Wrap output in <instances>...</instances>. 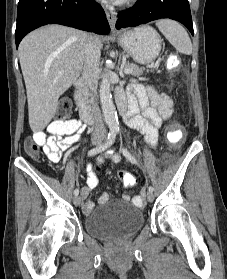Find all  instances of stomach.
<instances>
[{
  "mask_svg": "<svg viewBox=\"0 0 227 279\" xmlns=\"http://www.w3.org/2000/svg\"><path fill=\"white\" fill-rule=\"evenodd\" d=\"M117 39L124 51L139 64L151 63L161 51L162 40L159 34L149 26L125 31L119 34Z\"/></svg>",
  "mask_w": 227,
  "mask_h": 279,
  "instance_id": "0dacf381",
  "label": "stomach"
}]
</instances>
